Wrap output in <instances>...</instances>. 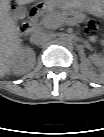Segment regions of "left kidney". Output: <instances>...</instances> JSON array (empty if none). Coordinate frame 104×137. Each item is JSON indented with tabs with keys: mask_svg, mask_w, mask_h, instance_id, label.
Segmentation results:
<instances>
[{
	"mask_svg": "<svg viewBox=\"0 0 104 137\" xmlns=\"http://www.w3.org/2000/svg\"><path fill=\"white\" fill-rule=\"evenodd\" d=\"M91 61H92L94 64L98 65V66H103V64H104V59H103V57L100 56V55H98V54L92 55ZM81 65H82V67H85V66L89 65V62H88V61L82 62Z\"/></svg>",
	"mask_w": 104,
	"mask_h": 137,
	"instance_id": "5707ae66",
	"label": "left kidney"
}]
</instances>
